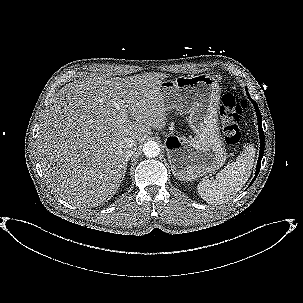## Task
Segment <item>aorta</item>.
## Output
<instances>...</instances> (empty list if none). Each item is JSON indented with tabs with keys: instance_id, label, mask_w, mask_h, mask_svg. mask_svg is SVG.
Instances as JSON below:
<instances>
[{
	"instance_id": "aorta-1",
	"label": "aorta",
	"mask_w": 303,
	"mask_h": 303,
	"mask_svg": "<svg viewBox=\"0 0 303 303\" xmlns=\"http://www.w3.org/2000/svg\"><path fill=\"white\" fill-rule=\"evenodd\" d=\"M144 155L148 158L157 157L160 153L159 145L155 141H148L143 146Z\"/></svg>"
}]
</instances>
